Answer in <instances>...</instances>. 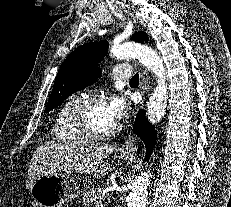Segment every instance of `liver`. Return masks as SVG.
<instances>
[{
    "instance_id": "liver-1",
    "label": "liver",
    "mask_w": 231,
    "mask_h": 207,
    "mask_svg": "<svg viewBox=\"0 0 231 207\" xmlns=\"http://www.w3.org/2000/svg\"><path fill=\"white\" fill-rule=\"evenodd\" d=\"M113 150L108 144L88 143H46L38 148L31 158L26 189H30L35 180L50 171L95 173V177L105 176L108 166L103 159Z\"/></svg>"
}]
</instances>
